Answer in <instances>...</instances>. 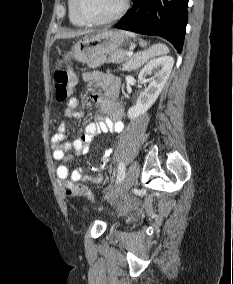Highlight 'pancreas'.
I'll return each instance as SVG.
<instances>
[{
    "label": "pancreas",
    "instance_id": "obj_1",
    "mask_svg": "<svg viewBox=\"0 0 233 284\" xmlns=\"http://www.w3.org/2000/svg\"><path fill=\"white\" fill-rule=\"evenodd\" d=\"M105 62L106 63H118V64L125 62L124 69H128V70L136 69L142 64V61H139L137 59V55L130 58L127 56V51L117 50V51H114L108 54V56L101 57L94 63L89 64V67L95 68Z\"/></svg>",
    "mask_w": 233,
    "mask_h": 284
}]
</instances>
